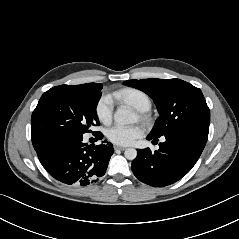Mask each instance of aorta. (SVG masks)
Wrapping results in <instances>:
<instances>
[{"label": "aorta", "instance_id": "obj_1", "mask_svg": "<svg viewBox=\"0 0 239 239\" xmlns=\"http://www.w3.org/2000/svg\"><path fill=\"white\" fill-rule=\"evenodd\" d=\"M114 119L118 124L126 125L135 123L137 116L129 107L120 106L114 114ZM124 156L128 160H134L137 156V151L134 148H128L125 150Z\"/></svg>", "mask_w": 239, "mask_h": 239}]
</instances>
